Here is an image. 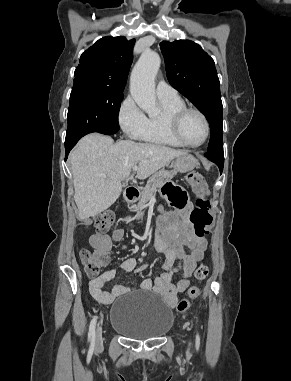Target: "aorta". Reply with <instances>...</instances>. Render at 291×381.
<instances>
[{"label": "aorta", "mask_w": 291, "mask_h": 381, "mask_svg": "<svg viewBox=\"0 0 291 381\" xmlns=\"http://www.w3.org/2000/svg\"><path fill=\"white\" fill-rule=\"evenodd\" d=\"M161 63L155 51H144L135 64L130 78V93L136 104L148 116L159 113L155 95V77Z\"/></svg>", "instance_id": "762f6f07"}]
</instances>
